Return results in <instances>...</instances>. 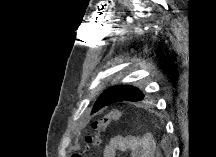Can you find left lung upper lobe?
I'll list each match as a JSON object with an SVG mask.
<instances>
[{"label": "left lung upper lobe", "instance_id": "obj_1", "mask_svg": "<svg viewBox=\"0 0 216 157\" xmlns=\"http://www.w3.org/2000/svg\"><path fill=\"white\" fill-rule=\"evenodd\" d=\"M144 98L145 94L139 88L127 84L118 85L109 88L101 94V96L95 102L97 104L93 107L92 112H95L97 106L102 109L103 107L109 106L117 102H137L144 100Z\"/></svg>", "mask_w": 216, "mask_h": 157}]
</instances>
